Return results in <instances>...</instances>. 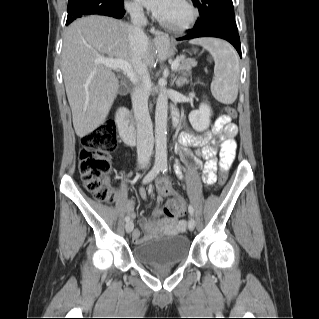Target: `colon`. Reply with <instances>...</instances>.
I'll return each mask as SVG.
<instances>
[{"mask_svg":"<svg viewBox=\"0 0 319 319\" xmlns=\"http://www.w3.org/2000/svg\"><path fill=\"white\" fill-rule=\"evenodd\" d=\"M225 112L236 117V110L225 107ZM117 145L116 125L112 121L102 123L97 129L85 135L81 141L79 154V173L86 190L97 200L111 203L115 199L108 177L111 169V152ZM227 180L225 170L220 171L218 182L223 185ZM165 187L160 184L158 188ZM183 213L182 205L174 199H169L164 207L168 218H177Z\"/></svg>","mask_w":319,"mask_h":319,"instance_id":"5ec220e1","label":"colon"}]
</instances>
